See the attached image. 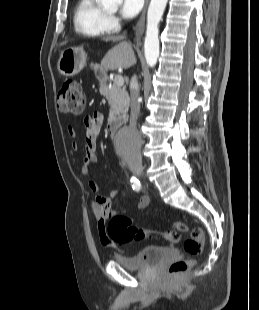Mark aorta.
I'll use <instances>...</instances> for the list:
<instances>
[{"instance_id": "762f6f07", "label": "aorta", "mask_w": 259, "mask_h": 310, "mask_svg": "<svg viewBox=\"0 0 259 310\" xmlns=\"http://www.w3.org/2000/svg\"><path fill=\"white\" fill-rule=\"evenodd\" d=\"M106 8L116 9L120 0H100ZM168 0H151L147 13V28L144 42L146 62L149 67H154L159 57V22L164 13ZM140 143V136L135 131L124 130L117 138L120 151H136Z\"/></svg>"}]
</instances>
